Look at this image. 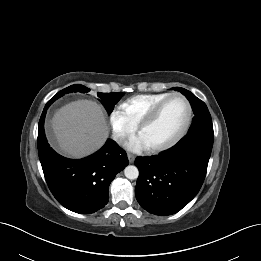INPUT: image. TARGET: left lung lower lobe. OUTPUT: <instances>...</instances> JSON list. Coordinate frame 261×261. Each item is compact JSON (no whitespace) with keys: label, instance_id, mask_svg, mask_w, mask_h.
<instances>
[{"label":"left lung lower lobe","instance_id":"obj_1","mask_svg":"<svg viewBox=\"0 0 261 261\" xmlns=\"http://www.w3.org/2000/svg\"><path fill=\"white\" fill-rule=\"evenodd\" d=\"M214 134L193 132L172 148L150 157H137V201L146 211L177 213L199 192L207 171Z\"/></svg>","mask_w":261,"mask_h":261}]
</instances>
